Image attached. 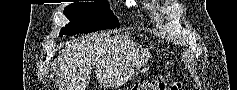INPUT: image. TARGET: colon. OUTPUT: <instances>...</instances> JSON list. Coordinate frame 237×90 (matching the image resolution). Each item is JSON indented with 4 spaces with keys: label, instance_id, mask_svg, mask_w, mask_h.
<instances>
[{
    "label": "colon",
    "instance_id": "colon-1",
    "mask_svg": "<svg viewBox=\"0 0 237 90\" xmlns=\"http://www.w3.org/2000/svg\"><path fill=\"white\" fill-rule=\"evenodd\" d=\"M181 87L179 82L169 83L164 78H158L149 82H139L131 87V90H178Z\"/></svg>",
    "mask_w": 237,
    "mask_h": 90
}]
</instances>
